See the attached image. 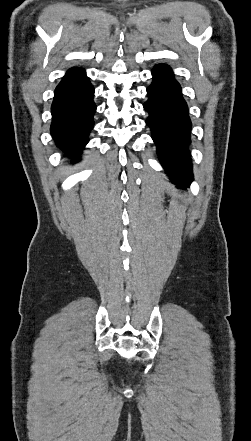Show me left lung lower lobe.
Masks as SVG:
<instances>
[{"label": "left lung lower lobe", "instance_id": "obj_1", "mask_svg": "<svg viewBox=\"0 0 251 441\" xmlns=\"http://www.w3.org/2000/svg\"><path fill=\"white\" fill-rule=\"evenodd\" d=\"M153 82L147 88L144 109L149 113L146 124L162 166L174 184L189 187L193 180L188 150L191 120L180 84L168 65L158 64L152 70Z\"/></svg>", "mask_w": 251, "mask_h": 441}]
</instances>
